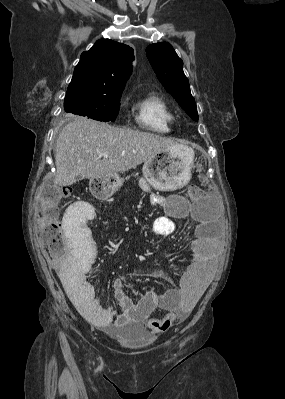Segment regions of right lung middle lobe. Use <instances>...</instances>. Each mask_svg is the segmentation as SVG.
Here are the masks:
<instances>
[{"mask_svg":"<svg viewBox=\"0 0 285 399\" xmlns=\"http://www.w3.org/2000/svg\"><path fill=\"white\" fill-rule=\"evenodd\" d=\"M122 91L113 95L72 94L66 95V112L87 116L99 121H114L119 112Z\"/></svg>","mask_w":285,"mask_h":399,"instance_id":"1","label":"right lung middle lobe"}]
</instances>
